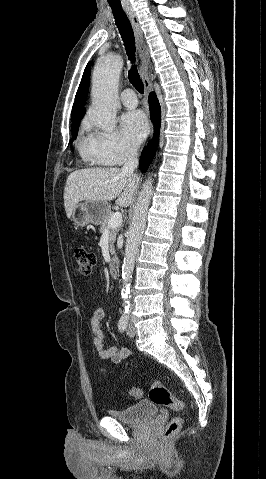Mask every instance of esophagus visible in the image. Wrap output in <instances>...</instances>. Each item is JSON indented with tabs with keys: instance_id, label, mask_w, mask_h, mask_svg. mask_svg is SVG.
<instances>
[{
	"instance_id": "obj_1",
	"label": "esophagus",
	"mask_w": 266,
	"mask_h": 479,
	"mask_svg": "<svg viewBox=\"0 0 266 479\" xmlns=\"http://www.w3.org/2000/svg\"><path fill=\"white\" fill-rule=\"evenodd\" d=\"M125 11L131 21V24L133 26V29L136 35L138 53L141 59L140 76L144 84L145 95L148 96L150 91L152 90V83L146 72L148 61H149L148 47L144 40L143 31L141 29V25L139 23L136 13L132 9H126Z\"/></svg>"
}]
</instances>
